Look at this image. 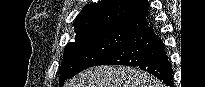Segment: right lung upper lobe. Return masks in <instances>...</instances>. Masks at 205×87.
<instances>
[{"mask_svg": "<svg viewBox=\"0 0 205 87\" xmlns=\"http://www.w3.org/2000/svg\"><path fill=\"white\" fill-rule=\"evenodd\" d=\"M148 7V0H100L88 4L74 21L75 33L98 30L135 33L149 24Z\"/></svg>", "mask_w": 205, "mask_h": 87, "instance_id": "cb5924a9", "label": "right lung upper lobe"}]
</instances>
